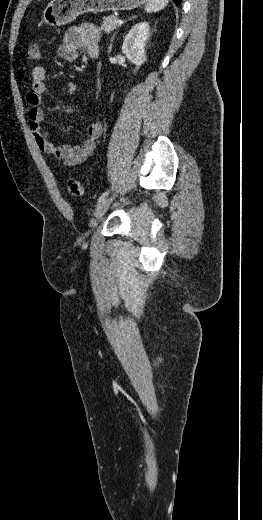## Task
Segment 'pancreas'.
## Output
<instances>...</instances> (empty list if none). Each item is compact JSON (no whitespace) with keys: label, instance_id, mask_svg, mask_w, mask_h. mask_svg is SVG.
I'll use <instances>...</instances> for the list:
<instances>
[{"label":"pancreas","instance_id":"obj_1","mask_svg":"<svg viewBox=\"0 0 263 520\" xmlns=\"http://www.w3.org/2000/svg\"><path fill=\"white\" fill-rule=\"evenodd\" d=\"M117 20H118V17L114 16V15L104 17L103 24L101 25V30H104L107 33L113 31L120 25V24L116 23Z\"/></svg>","mask_w":263,"mask_h":520}]
</instances>
